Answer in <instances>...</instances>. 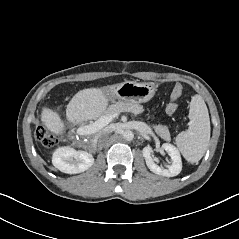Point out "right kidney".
<instances>
[{
    "label": "right kidney",
    "mask_w": 239,
    "mask_h": 239,
    "mask_svg": "<svg viewBox=\"0 0 239 239\" xmlns=\"http://www.w3.org/2000/svg\"><path fill=\"white\" fill-rule=\"evenodd\" d=\"M52 163L61 172L77 174L88 170L93 165L94 158L86 151H76L66 146L53 153Z\"/></svg>",
    "instance_id": "1"
}]
</instances>
